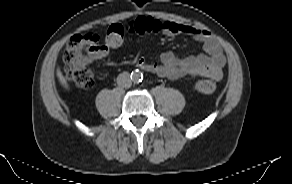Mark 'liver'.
<instances>
[{"label": "liver", "mask_w": 292, "mask_h": 184, "mask_svg": "<svg viewBox=\"0 0 292 184\" xmlns=\"http://www.w3.org/2000/svg\"><path fill=\"white\" fill-rule=\"evenodd\" d=\"M56 75H57V77L59 78L60 83H61L65 88H68V85H67L66 79L64 78V76H63V74H62V72L60 71L59 68H57Z\"/></svg>", "instance_id": "liver-1"}]
</instances>
